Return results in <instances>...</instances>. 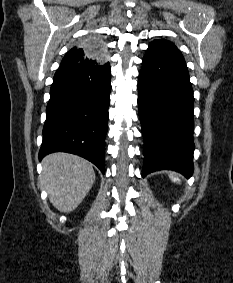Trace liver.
<instances>
[{"label": "liver", "mask_w": 233, "mask_h": 283, "mask_svg": "<svg viewBox=\"0 0 233 283\" xmlns=\"http://www.w3.org/2000/svg\"><path fill=\"white\" fill-rule=\"evenodd\" d=\"M94 181L92 164L79 156L56 152L42 161L41 186L60 212L69 213L76 209Z\"/></svg>", "instance_id": "liver-1"}]
</instances>
